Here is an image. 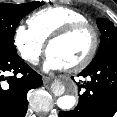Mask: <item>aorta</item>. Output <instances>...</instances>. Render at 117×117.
Masks as SVG:
<instances>
[{"label": "aorta", "mask_w": 117, "mask_h": 117, "mask_svg": "<svg viewBox=\"0 0 117 117\" xmlns=\"http://www.w3.org/2000/svg\"><path fill=\"white\" fill-rule=\"evenodd\" d=\"M65 91V86L60 82L54 84L53 92L55 95H60ZM76 98L74 95H63L57 99V105L62 110H69L74 107Z\"/></svg>", "instance_id": "obj_1"}]
</instances>
